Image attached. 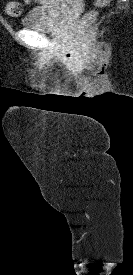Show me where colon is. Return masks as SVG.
I'll return each instance as SVG.
<instances>
[{
	"instance_id": "obj_1",
	"label": "colon",
	"mask_w": 133,
	"mask_h": 275,
	"mask_svg": "<svg viewBox=\"0 0 133 275\" xmlns=\"http://www.w3.org/2000/svg\"><path fill=\"white\" fill-rule=\"evenodd\" d=\"M97 8L102 7V2L96 4ZM6 12L8 15L17 17L21 14V5L18 2L9 1L6 5ZM91 16H95L97 14V10H93L89 13Z\"/></svg>"
}]
</instances>
